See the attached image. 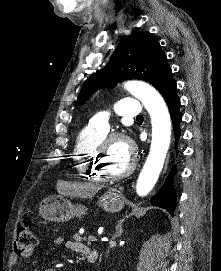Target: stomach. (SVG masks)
Returning <instances> with one entry per match:
<instances>
[{
    "mask_svg": "<svg viewBox=\"0 0 221 271\" xmlns=\"http://www.w3.org/2000/svg\"><path fill=\"white\" fill-rule=\"evenodd\" d=\"M98 205L105 211L114 213V211L123 209L124 201L121 193H118V189L110 187L108 191L103 193ZM40 213L44 219H49V221H65L71 217L86 215L87 207L81 203L73 205L69 199H63V197H45V203L41 205Z\"/></svg>",
    "mask_w": 221,
    "mask_h": 271,
    "instance_id": "stomach-1",
    "label": "stomach"
}]
</instances>
